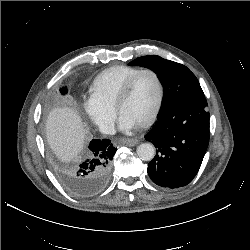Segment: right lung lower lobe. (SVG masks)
Listing matches in <instances>:
<instances>
[{
    "label": "right lung lower lobe",
    "instance_id": "obj_1",
    "mask_svg": "<svg viewBox=\"0 0 250 250\" xmlns=\"http://www.w3.org/2000/svg\"><path fill=\"white\" fill-rule=\"evenodd\" d=\"M88 148L83 163L68 174L71 190L81 197L94 196L104 188L117 150L109 139H93Z\"/></svg>",
    "mask_w": 250,
    "mask_h": 250
}]
</instances>
